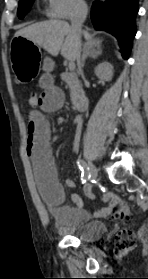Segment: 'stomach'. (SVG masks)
<instances>
[{"mask_svg": "<svg viewBox=\"0 0 148 279\" xmlns=\"http://www.w3.org/2000/svg\"><path fill=\"white\" fill-rule=\"evenodd\" d=\"M12 51V54H9V59H11L16 79L20 82H28L33 79L37 71L41 69V63L46 71L53 67L51 59H44L40 47L25 37H16L13 40Z\"/></svg>", "mask_w": 148, "mask_h": 279, "instance_id": "1", "label": "stomach"}]
</instances>
